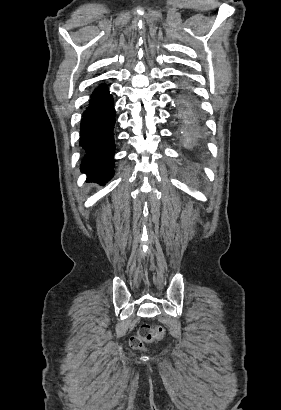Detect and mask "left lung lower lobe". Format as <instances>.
<instances>
[{"label":"left lung lower lobe","instance_id":"left-lung-lower-lobe-1","mask_svg":"<svg viewBox=\"0 0 281 410\" xmlns=\"http://www.w3.org/2000/svg\"><path fill=\"white\" fill-rule=\"evenodd\" d=\"M179 120L181 121V136L192 147H201L205 143V127L195 100L189 93H183L179 98Z\"/></svg>","mask_w":281,"mask_h":410}]
</instances>
